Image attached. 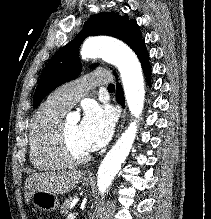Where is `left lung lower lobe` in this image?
I'll return each instance as SVG.
<instances>
[{
  "mask_svg": "<svg viewBox=\"0 0 211 219\" xmlns=\"http://www.w3.org/2000/svg\"><path fill=\"white\" fill-rule=\"evenodd\" d=\"M136 55L138 56L141 65L143 67V70L145 72L146 78L148 83H150V73H151V67L148 61L149 55L147 53V50L145 48V42L144 40H142V42L139 44V46L136 48L135 50ZM116 78L117 75L114 72ZM117 101L120 105L124 106V96H123V91H122V87L119 83H117Z\"/></svg>",
  "mask_w": 211,
  "mask_h": 219,
  "instance_id": "obj_1",
  "label": "left lung lower lobe"
}]
</instances>
